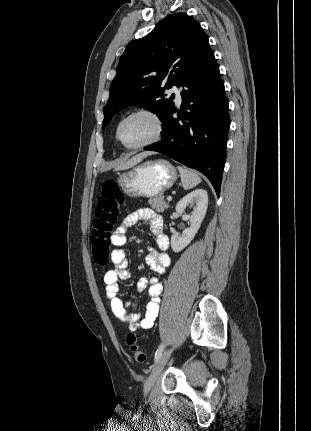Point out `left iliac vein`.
I'll list each match as a JSON object with an SVG mask.
<instances>
[{"mask_svg": "<svg viewBox=\"0 0 311 431\" xmlns=\"http://www.w3.org/2000/svg\"><path fill=\"white\" fill-rule=\"evenodd\" d=\"M172 353V349L171 348H167L162 355L160 356V358L158 359V361L156 362V364L154 365L150 376L148 377V379L145 382L144 385V392L145 394L149 393V391L151 390V388L153 387L157 377L159 376V374L161 373L162 369L164 368L165 364L167 363V361L169 360L170 356Z\"/></svg>", "mask_w": 311, "mask_h": 431, "instance_id": "obj_1", "label": "left iliac vein"}]
</instances>
